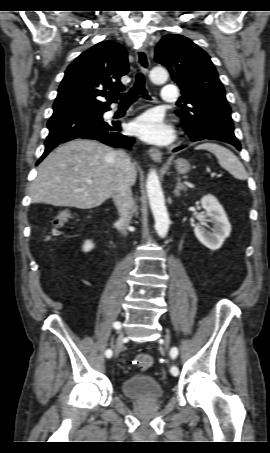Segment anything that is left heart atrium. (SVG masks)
<instances>
[{
    "mask_svg": "<svg viewBox=\"0 0 270 453\" xmlns=\"http://www.w3.org/2000/svg\"><path fill=\"white\" fill-rule=\"evenodd\" d=\"M131 131L141 139L153 143H168L172 139V130L163 118L156 113L140 116L131 124Z\"/></svg>",
    "mask_w": 270,
    "mask_h": 453,
    "instance_id": "1",
    "label": "left heart atrium"
}]
</instances>
